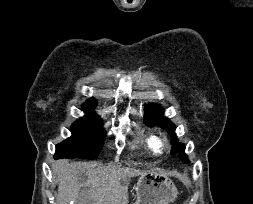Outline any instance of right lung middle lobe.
<instances>
[{
    "label": "right lung middle lobe",
    "instance_id": "right-lung-middle-lobe-1",
    "mask_svg": "<svg viewBox=\"0 0 253 204\" xmlns=\"http://www.w3.org/2000/svg\"><path fill=\"white\" fill-rule=\"evenodd\" d=\"M86 115L71 126L72 136L56 146V157L95 159L103 144L105 133L102 120L93 114L94 108L83 106Z\"/></svg>",
    "mask_w": 253,
    "mask_h": 204
}]
</instances>
